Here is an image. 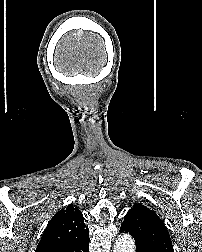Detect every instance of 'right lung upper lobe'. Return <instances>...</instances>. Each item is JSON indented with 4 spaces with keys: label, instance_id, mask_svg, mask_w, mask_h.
<instances>
[{
    "label": "right lung upper lobe",
    "instance_id": "right-lung-upper-lobe-1",
    "mask_svg": "<svg viewBox=\"0 0 202 252\" xmlns=\"http://www.w3.org/2000/svg\"><path fill=\"white\" fill-rule=\"evenodd\" d=\"M89 231L73 205L58 211L48 223L35 252H86Z\"/></svg>",
    "mask_w": 202,
    "mask_h": 252
}]
</instances>
